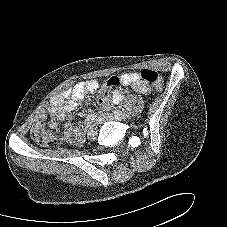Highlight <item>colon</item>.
Here are the masks:
<instances>
[{"label":"colon","instance_id":"5ec220e1","mask_svg":"<svg viewBox=\"0 0 227 227\" xmlns=\"http://www.w3.org/2000/svg\"><path fill=\"white\" fill-rule=\"evenodd\" d=\"M140 78L143 79L153 90L160 91L163 88V77L155 70L143 69L139 73ZM121 83V78L113 75L106 80L107 87H114ZM49 133L43 125L32 131V138L40 145H45L49 141Z\"/></svg>","mask_w":227,"mask_h":227}]
</instances>
